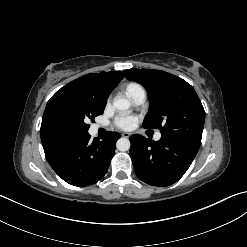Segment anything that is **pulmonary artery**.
<instances>
[{
	"mask_svg": "<svg viewBox=\"0 0 247 247\" xmlns=\"http://www.w3.org/2000/svg\"><path fill=\"white\" fill-rule=\"evenodd\" d=\"M131 99L136 106L142 105L146 100V93L143 89H140L131 97ZM160 138L161 133H156L154 139L159 140Z\"/></svg>",
	"mask_w": 247,
	"mask_h": 247,
	"instance_id": "e3ab8cb5",
	"label": "pulmonary artery"
}]
</instances>
